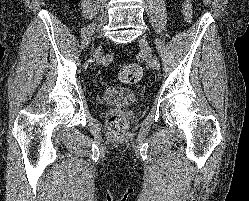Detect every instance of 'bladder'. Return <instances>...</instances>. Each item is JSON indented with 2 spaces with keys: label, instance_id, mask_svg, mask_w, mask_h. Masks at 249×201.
<instances>
[{
  "label": "bladder",
  "instance_id": "1",
  "mask_svg": "<svg viewBox=\"0 0 249 201\" xmlns=\"http://www.w3.org/2000/svg\"><path fill=\"white\" fill-rule=\"evenodd\" d=\"M139 97L136 92L132 89L112 86L108 87L101 98L100 104L107 106L111 104H137Z\"/></svg>",
  "mask_w": 249,
  "mask_h": 201
}]
</instances>
